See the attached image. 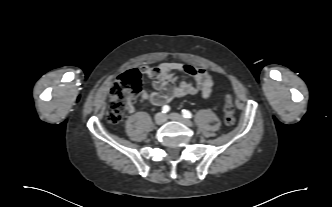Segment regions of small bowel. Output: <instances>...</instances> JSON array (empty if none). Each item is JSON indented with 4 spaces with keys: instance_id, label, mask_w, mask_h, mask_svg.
Segmentation results:
<instances>
[{
    "instance_id": "c3829d8e",
    "label": "small bowel",
    "mask_w": 332,
    "mask_h": 207,
    "mask_svg": "<svg viewBox=\"0 0 332 207\" xmlns=\"http://www.w3.org/2000/svg\"><path fill=\"white\" fill-rule=\"evenodd\" d=\"M142 74L152 80L154 91H143L141 99L155 106H162L173 98L187 95H199L208 98L214 91V81L211 74L202 67L180 62L161 63L156 67L142 66ZM188 76L193 81H187L181 76Z\"/></svg>"
}]
</instances>
